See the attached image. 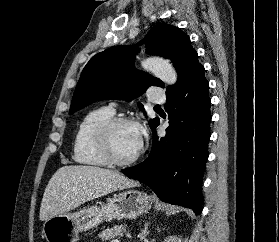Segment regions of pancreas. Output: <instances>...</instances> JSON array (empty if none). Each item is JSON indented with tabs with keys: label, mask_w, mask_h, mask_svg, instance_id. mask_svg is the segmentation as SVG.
Listing matches in <instances>:
<instances>
[{
	"label": "pancreas",
	"mask_w": 279,
	"mask_h": 242,
	"mask_svg": "<svg viewBox=\"0 0 279 242\" xmlns=\"http://www.w3.org/2000/svg\"><path fill=\"white\" fill-rule=\"evenodd\" d=\"M126 230V225H114L111 228H107L98 234V238L103 242L109 241L117 236H122L123 232Z\"/></svg>",
	"instance_id": "pancreas-1"
}]
</instances>
